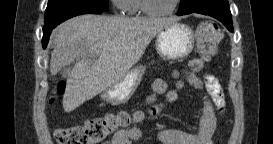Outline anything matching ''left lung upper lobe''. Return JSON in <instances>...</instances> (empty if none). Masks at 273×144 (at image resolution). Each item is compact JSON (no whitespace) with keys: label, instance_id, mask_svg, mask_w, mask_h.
Wrapping results in <instances>:
<instances>
[{"label":"left lung upper lobe","instance_id":"5c2ea615","mask_svg":"<svg viewBox=\"0 0 273 144\" xmlns=\"http://www.w3.org/2000/svg\"><path fill=\"white\" fill-rule=\"evenodd\" d=\"M193 2H194V0H181L178 12H185V11L193 8V6H194Z\"/></svg>","mask_w":273,"mask_h":144}]
</instances>
